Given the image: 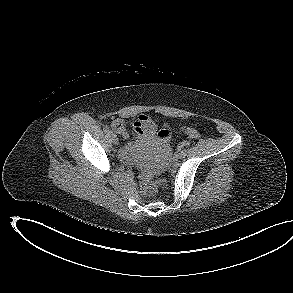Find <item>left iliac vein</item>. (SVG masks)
<instances>
[{
    "label": "left iliac vein",
    "mask_w": 293,
    "mask_h": 293,
    "mask_svg": "<svg viewBox=\"0 0 293 293\" xmlns=\"http://www.w3.org/2000/svg\"><path fill=\"white\" fill-rule=\"evenodd\" d=\"M179 156H180L181 158H184V157L186 156V151L181 150V151L179 152Z\"/></svg>",
    "instance_id": "1"
}]
</instances>
